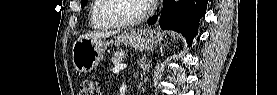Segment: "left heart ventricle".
Listing matches in <instances>:
<instances>
[{
	"instance_id": "obj_1",
	"label": "left heart ventricle",
	"mask_w": 277,
	"mask_h": 95,
	"mask_svg": "<svg viewBox=\"0 0 277 95\" xmlns=\"http://www.w3.org/2000/svg\"><path fill=\"white\" fill-rule=\"evenodd\" d=\"M144 10L142 0H113L107 11L110 15L131 19L139 16Z\"/></svg>"
}]
</instances>
